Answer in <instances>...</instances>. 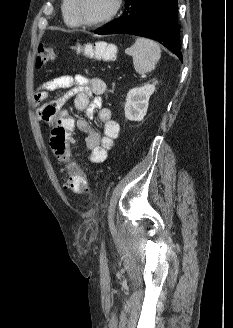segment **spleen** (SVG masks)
Wrapping results in <instances>:
<instances>
[{
	"instance_id": "3e777b00",
	"label": "spleen",
	"mask_w": 233,
	"mask_h": 328,
	"mask_svg": "<svg viewBox=\"0 0 233 328\" xmlns=\"http://www.w3.org/2000/svg\"><path fill=\"white\" fill-rule=\"evenodd\" d=\"M112 48V45L108 46V49ZM125 53L132 56L135 71L140 75L154 70L161 57L159 44L143 37L137 38L134 44L125 50Z\"/></svg>"
}]
</instances>
